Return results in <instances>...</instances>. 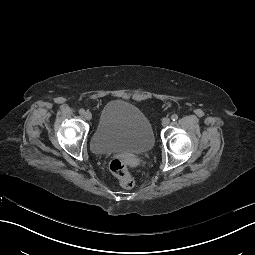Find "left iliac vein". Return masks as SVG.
<instances>
[{"instance_id": "left-iliac-vein-1", "label": "left iliac vein", "mask_w": 255, "mask_h": 255, "mask_svg": "<svg viewBox=\"0 0 255 255\" xmlns=\"http://www.w3.org/2000/svg\"><path fill=\"white\" fill-rule=\"evenodd\" d=\"M169 123H170V119L168 118V117H166V118H164L163 120H162V125L165 127V126H167V125H169Z\"/></svg>"}]
</instances>
